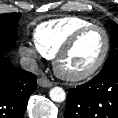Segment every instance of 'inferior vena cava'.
Masks as SVG:
<instances>
[{
	"label": "inferior vena cava",
	"mask_w": 118,
	"mask_h": 118,
	"mask_svg": "<svg viewBox=\"0 0 118 118\" xmlns=\"http://www.w3.org/2000/svg\"><path fill=\"white\" fill-rule=\"evenodd\" d=\"M21 67L24 70L30 71V72H36L38 69L37 62L34 58L30 57H23L20 60Z\"/></svg>",
	"instance_id": "602c4592"
}]
</instances>
